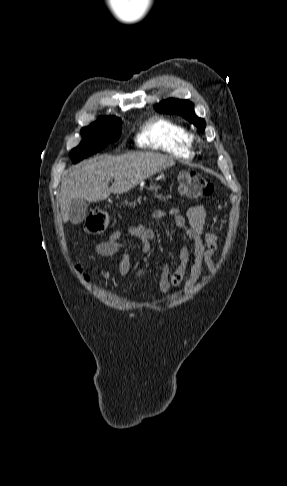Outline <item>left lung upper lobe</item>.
<instances>
[{
	"label": "left lung upper lobe",
	"mask_w": 287,
	"mask_h": 486,
	"mask_svg": "<svg viewBox=\"0 0 287 486\" xmlns=\"http://www.w3.org/2000/svg\"><path fill=\"white\" fill-rule=\"evenodd\" d=\"M155 109L159 112L179 114L196 125L200 131L205 129V121L195 115L193 104L187 100L167 99L157 104Z\"/></svg>",
	"instance_id": "1"
}]
</instances>
